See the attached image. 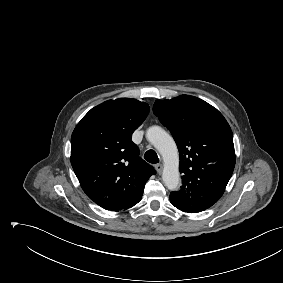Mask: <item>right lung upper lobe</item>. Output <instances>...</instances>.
<instances>
[{
    "label": "right lung upper lobe",
    "instance_id": "1",
    "mask_svg": "<svg viewBox=\"0 0 283 283\" xmlns=\"http://www.w3.org/2000/svg\"><path fill=\"white\" fill-rule=\"evenodd\" d=\"M149 110L132 98L109 100L91 109L72 133L73 170L87 196L104 209L136 205L146 181L156 174L131 140Z\"/></svg>",
    "mask_w": 283,
    "mask_h": 283
}]
</instances>
